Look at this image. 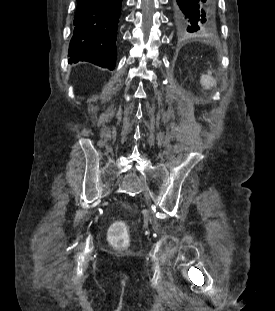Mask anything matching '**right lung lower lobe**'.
Here are the masks:
<instances>
[{"instance_id":"1","label":"right lung lower lobe","mask_w":275,"mask_h":311,"mask_svg":"<svg viewBox=\"0 0 275 311\" xmlns=\"http://www.w3.org/2000/svg\"><path fill=\"white\" fill-rule=\"evenodd\" d=\"M69 62L88 61L113 70L122 0H77Z\"/></svg>"}]
</instances>
